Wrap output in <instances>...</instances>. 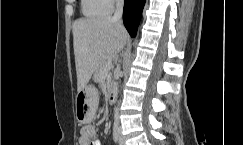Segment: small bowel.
<instances>
[{"label": "small bowel", "mask_w": 243, "mask_h": 145, "mask_svg": "<svg viewBox=\"0 0 243 145\" xmlns=\"http://www.w3.org/2000/svg\"><path fill=\"white\" fill-rule=\"evenodd\" d=\"M79 145H101L93 126H84L80 131Z\"/></svg>", "instance_id": "small-bowel-1"}]
</instances>
